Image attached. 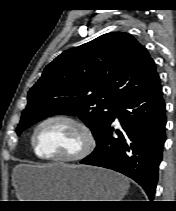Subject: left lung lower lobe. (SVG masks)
Masks as SVG:
<instances>
[{"label": "left lung lower lobe", "instance_id": "1", "mask_svg": "<svg viewBox=\"0 0 176 211\" xmlns=\"http://www.w3.org/2000/svg\"><path fill=\"white\" fill-rule=\"evenodd\" d=\"M120 120L121 129L112 125ZM165 103L158 81L121 102L94 152L82 164L113 169L139 183L154 198L165 142Z\"/></svg>", "mask_w": 176, "mask_h": 211}]
</instances>
